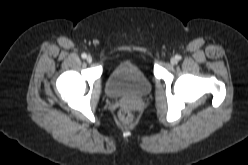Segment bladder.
Returning <instances> with one entry per match:
<instances>
[{"label": "bladder", "instance_id": "bladder-1", "mask_svg": "<svg viewBox=\"0 0 248 165\" xmlns=\"http://www.w3.org/2000/svg\"><path fill=\"white\" fill-rule=\"evenodd\" d=\"M151 89L148 76L131 61L118 62L108 73L105 83L106 93L113 99H143Z\"/></svg>", "mask_w": 248, "mask_h": 165}]
</instances>
